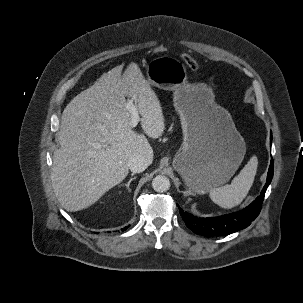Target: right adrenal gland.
<instances>
[{
  "label": "right adrenal gland",
  "instance_id": "1",
  "mask_svg": "<svg viewBox=\"0 0 303 303\" xmlns=\"http://www.w3.org/2000/svg\"><path fill=\"white\" fill-rule=\"evenodd\" d=\"M133 175H134V174H132V177L130 178V180H129L126 184H121V186H126L128 192L131 191V189H130V183H131L134 179H136V177H135V176L133 177Z\"/></svg>",
  "mask_w": 303,
  "mask_h": 303
}]
</instances>
